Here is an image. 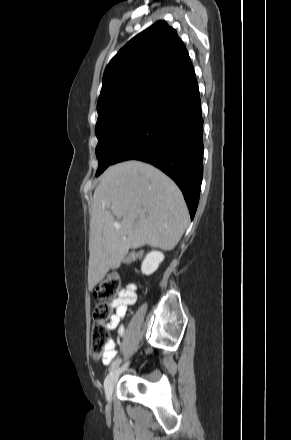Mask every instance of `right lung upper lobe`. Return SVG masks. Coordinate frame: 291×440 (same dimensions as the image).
Instances as JSON below:
<instances>
[{
	"label": "right lung upper lobe",
	"instance_id": "right-lung-upper-lobe-1",
	"mask_svg": "<svg viewBox=\"0 0 291 440\" xmlns=\"http://www.w3.org/2000/svg\"><path fill=\"white\" fill-rule=\"evenodd\" d=\"M194 71L175 29L157 21L132 38L107 65L97 108L138 96L156 97Z\"/></svg>",
	"mask_w": 291,
	"mask_h": 440
}]
</instances>
